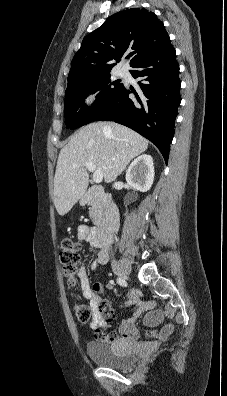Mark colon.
<instances>
[{
	"mask_svg": "<svg viewBox=\"0 0 227 396\" xmlns=\"http://www.w3.org/2000/svg\"><path fill=\"white\" fill-rule=\"evenodd\" d=\"M80 245L71 239H65L62 243L59 254L60 262L63 267V273L68 279L69 286L76 283L75 273L77 265L80 261ZM74 313L80 322L86 323L92 318V309L84 303H76L74 305Z\"/></svg>",
	"mask_w": 227,
	"mask_h": 396,
	"instance_id": "colon-1",
	"label": "colon"
}]
</instances>
